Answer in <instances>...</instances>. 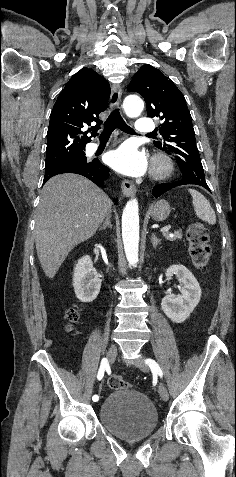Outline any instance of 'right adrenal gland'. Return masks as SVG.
<instances>
[{"label": "right adrenal gland", "instance_id": "1", "mask_svg": "<svg viewBox=\"0 0 236 477\" xmlns=\"http://www.w3.org/2000/svg\"><path fill=\"white\" fill-rule=\"evenodd\" d=\"M110 218H111V214H109V215L106 217V219H105L103 225L99 228V230H105L106 227L112 229V224H111V222H110Z\"/></svg>", "mask_w": 236, "mask_h": 477}]
</instances>
